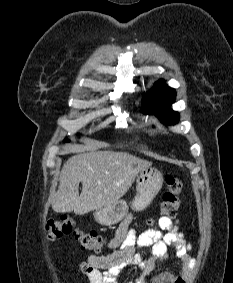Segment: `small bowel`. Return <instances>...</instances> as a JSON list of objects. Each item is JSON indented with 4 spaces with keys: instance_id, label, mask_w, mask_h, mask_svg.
<instances>
[{
    "instance_id": "1",
    "label": "small bowel",
    "mask_w": 233,
    "mask_h": 283,
    "mask_svg": "<svg viewBox=\"0 0 233 283\" xmlns=\"http://www.w3.org/2000/svg\"><path fill=\"white\" fill-rule=\"evenodd\" d=\"M132 215L126 216L108 243L110 249H117L106 256L91 255L81 263V271L90 283H118L117 278L126 265H136L140 275L128 283H148L145 276L150 274L158 261L171 258L169 248L174 251L178 273L164 272L153 278V283H185L190 277L196 260L190 255L191 245L179 230V222L162 217L159 229H148L137 235L131 227ZM165 232V233H163ZM150 249L147 257L143 251Z\"/></svg>"
}]
</instances>
